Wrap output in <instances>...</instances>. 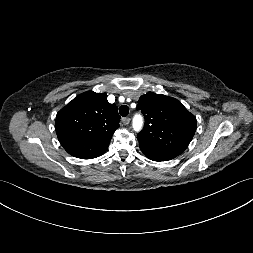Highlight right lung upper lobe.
I'll use <instances>...</instances> for the list:
<instances>
[{"instance_id": "obj_1", "label": "right lung upper lobe", "mask_w": 253, "mask_h": 253, "mask_svg": "<svg viewBox=\"0 0 253 253\" xmlns=\"http://www.w3.org/2000/svg\"><path fill=\"white\" fill-rule=\"evenodd\" d=\"M119 122L118 107L107 101V95L88 91L57 113L55 129L69 154L87 159L107 150Z\"/></svg>"}]
</instances>
